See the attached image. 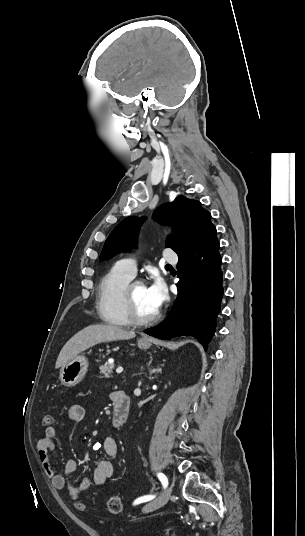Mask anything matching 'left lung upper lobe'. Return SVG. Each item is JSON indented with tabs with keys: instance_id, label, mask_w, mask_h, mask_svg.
I'll return each mask as SVG.
<instances>
[{
	"instance_id": "1",
	"label": "left lung upper lobe",
	"mask_w": 305,
	"mask_h": 536,
	"mask_svg": "<svg viewBox=\"0 0 305 536\" xmlns=\"http://www.w3.org/2000/svg\"><path fill=\"white\" fill-rule=\"evenodd\" d=\"M153 218L161 224L173 226L179 236H168L166 247L173 249L178 256L190 251L214 225L211 214L204 210L196 200L178 196L172 203L156 209ZM143 218L127 217L119 223L107 238L100 259H109L115 254L127 251L136 242L137 233Z\"/></svg>"
}]
</instances>
